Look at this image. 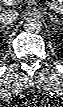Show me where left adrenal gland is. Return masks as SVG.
I'll list each match as a JSON object with an SVG mask.
<instances>
[{"instance_id": "1", "label": "left adrenal gland", "mask_w": 63, "mask_h": 107, "mask_svg": "<svg viewBox=\"0 0 63 107\" xmlns=\"http://www.w3.org/2000/svg\"><path fill=\"white\" fill-rule=\"evenodd\" d=\"M50 20L53 22L54 27H56V23L60 24L62 22L61 19L57 18L56 16H53L49 14Z\"/></svg>"}]
</instances>
